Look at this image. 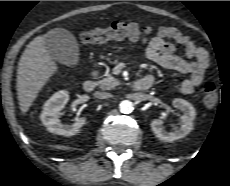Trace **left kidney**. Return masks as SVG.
Wrapping results in <instances>:
<instances>
[{
    "label": "left kidney",
    "mask_w": 230,
    "mask_h": 186,
    "mask_svg": "<svg viewBox=\"0 0 230 186\" xmlns=\"http://www.w3.org/2000/svg\"><path fill=\"white\" fill-rule=\"evenodd\" d=\"M172 104L174 108L183 112L180 127H176L174 131L168 132L163 128L162 120L154 119L151 122V129L156 137L165 142H172L189 134L193 130L194 119L196 116L195 108L188 101L176 98L173 100Z\"/></svg>",
    "instance_id": "obj_1"
}]
</instances>
